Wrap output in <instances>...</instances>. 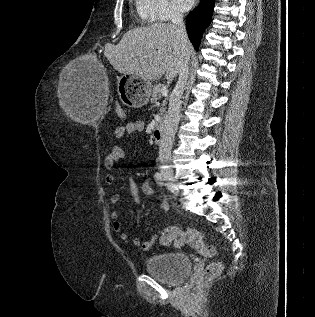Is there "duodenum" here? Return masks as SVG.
Returning a JSON list of instances; mask_svg holds the SVG:
<instances>
[{"label": "duodenum", "mask_w": 315, "mask_h": 317, "mask_svg": "<svg viewBox=\"0 0 315 317\" xmlns=\"http://www.w3.org/2000/svg\"><path fill=\"white\" fill-rule=\"evenodd\" d=\"M153 139L157 144H161L164 139V126L162 123L156 125L153 131Z\"/></svg>", "instance_id": "410a0bca"}]
</instances>
